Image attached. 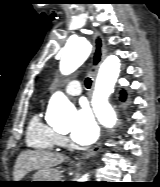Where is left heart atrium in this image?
Returning a JSON list of instances; mask_svg holds the SVG:
<instances>
[{"instance_id": "39dd6f15", "label": "left heart atrium", "mask_w": 160, "mask_h": 187, "mask_svg": "<svg viewBox=\"0 0 160 187\" xmlns=\"http://www.w3.org/2000/svg\"><path fill=\"white\" fill-rule=\"evenodd\" d=\"M99 128L88 106L83 105L77 112L71 137L80 145H90L97 139Z\"/></svg>"}]
</instances>
